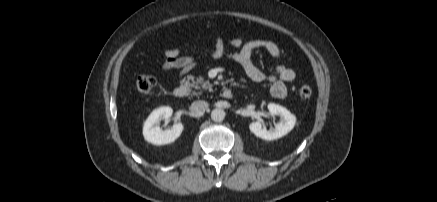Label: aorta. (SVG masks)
Returning <instances> with one entry per match:
<instances>
[{"label": "aorta", "instance_id": "1", "mask_svg": "<svg viewBox=\"0 0 437 202\" xmlns=\"http://www.w3.org/2000/svg\"><path fill=\"white\" fill-rule=\"evenodd\" d=\"M225 118L224 110L216 108L211 112V119L215 122H221Z\"/></svg>", "mask_w": 437, "mask_h": 202}]
</instances>
